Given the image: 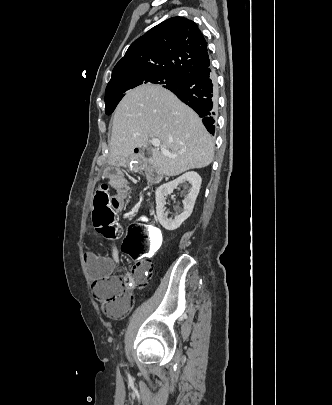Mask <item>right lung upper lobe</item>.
Wrapping results in <instances>:
<instances>
[{
	"label": "right lung upper lobe",
	"instance_id": "cb5924a9",
	"mask_svg": "<svg viewBox=\"0 0 332 405\" xmlns=\"http://www.w3.org/2000/svg\"><path fill=\"white\" fill-rule=\"evenodd\" d=\"M209 64L207 42L196 23L183 17H172L130 45L114 67L111 80L135 72L184 77Z\"/></svg>",
	"mask_w": 332,
	"mask_h": 405
}]
</instances>
